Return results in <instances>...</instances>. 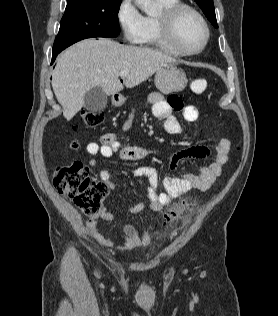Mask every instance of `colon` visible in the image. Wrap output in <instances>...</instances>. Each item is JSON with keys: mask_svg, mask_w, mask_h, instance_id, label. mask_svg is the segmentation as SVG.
Segmentation results:
<instances>
[{"mask_svg": "<svg viewBox=\"0 0 278 316\" xmlns=\"http://www.w3.org/2000/svg\"><path fill=\"white\" fill-rule=\"evenodd\" d=\"M207 88V80L198 78L192 81L191 90L195 94H202ZM102 112L85 111L82 119L86 126L96 127L103 120ZM77 142L71 143V148L76 149ZM55 189L62 195L70 198L75 205L88 217L96 222L103 214V201L108 193V187L103 182L96 180L89 169L80 162L62 165L55 169L52 175ZM189 203L183 201L165 215L167 223L180 220L188 209Z\"/></svg>", "mask_w": 278, "mask_h": 316, "instance_id": "5ec220e1", "label": "colon"}]
</instances>
